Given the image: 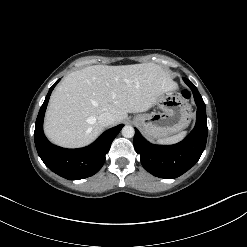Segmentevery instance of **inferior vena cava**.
Masks as SVG:
<instances>
[{"label": "inferior vena cava", "instance_id": "obj_1", "mask_svg": "<svg viewBox=\"0 0 247 247\" xmlns=\"http://www.w3.org/2000/svg\"><path fill=\"white\" fill-rule=\"evenodd\" d=\"M114 120L115 119H114L113 114H111L109 112H104V113L100 114L98 117V122L103 127L113 125Z\"/></svg>", "mask_w": 247, "mask_h": 247}]
</instances>
